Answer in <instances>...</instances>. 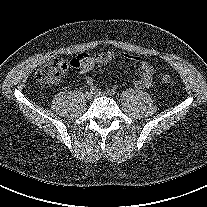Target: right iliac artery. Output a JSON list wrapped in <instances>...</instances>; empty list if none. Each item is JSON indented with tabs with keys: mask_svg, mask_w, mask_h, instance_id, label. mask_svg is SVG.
<instances>
[{
	"mask_svg": "<svg viewBox=\"0 0 207 207\" xmlns=\"http://www.w3.org/2000/svg\"><path fill=\"white\" fill-rule=\"evenodd\" d=\"M98 91L97 87L93 86L90 88L91 93H96Z\"/></svg>",
	"mask_w": 207,
	"mask_h": 207,
	"instance_id": "right-iliac-artery-1",
	"label": "right iliac artery"
}]
</instances>
